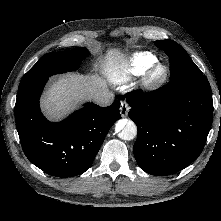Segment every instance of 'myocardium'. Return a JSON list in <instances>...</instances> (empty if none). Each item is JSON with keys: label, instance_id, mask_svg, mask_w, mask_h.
<instances>
[{"label": "myocardium", "instance_id": "1", "mask_svg": "<svg viewBox=\"0 0 221 221\" xmlns=\"http://www.w3.org/2000/svg\"><path fill=\"white\" fill-rule=\"evenodd\" d=\"M169 77V69L166 65L156 62L144 74L142 88L147 92L160 89Z\"/></svg>", "mask_w": 221, "mask_h": 221}]
</instances>
